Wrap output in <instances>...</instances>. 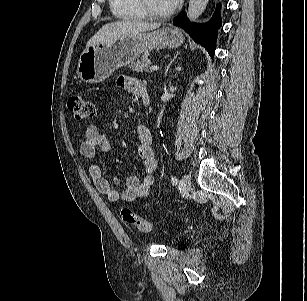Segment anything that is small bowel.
<instances>
[{
    "label": "small bowel",
    "mask_w": 307,
    "mask_h": 301,
    "mask_svg": "<svg viewBox=\"0 0 307 301\" xmlns=\"http://www.w3.org/2000/svg\"><path fill=\"white\" fill-rule=\"evenodd\" d=\"M118 84L129 93L138 95L140 88L144 87L143 83L132 77H120ZM138 145L136 152L143 162V177L139 179L136 176H130L126 180V187L120 193L117 187L106 179L97 164H91L89 173L96 189L105 194L109 200L116 202L120 199L132 201L140 197H145L150 193L154 183V173L157 168V160L153 150V140L149 129L145 125H139L136 128ZM108 153L110 145L104 132L98 127L91 125L86 131L80 144L81 154L88 159L96 155V151Z\"/></svg>",
    "instance_id": "1"
}]
</instances>
